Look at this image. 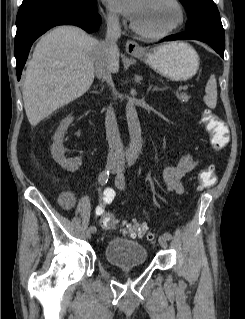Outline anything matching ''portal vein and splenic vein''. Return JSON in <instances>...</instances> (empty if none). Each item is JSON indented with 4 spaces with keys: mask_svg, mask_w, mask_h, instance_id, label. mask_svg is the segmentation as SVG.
Masks as SVG:
<instances>
[{
    "mask_svg": "<svg viewBox=\"0 0 245 319\" xmlns=\"http://www.w3.org/2000/svg\"><path fill=\"white\" fill-rule=\"evenodd\" d=\"M187 89H188V86L186 85L180 88V90H187Z\"/></svg>",
    "mask_w": 245,
    "mask_h": 319,
    "instance_id": "obj_1",
    "label": "portal vein and splenic vein"
}]
</instances>
